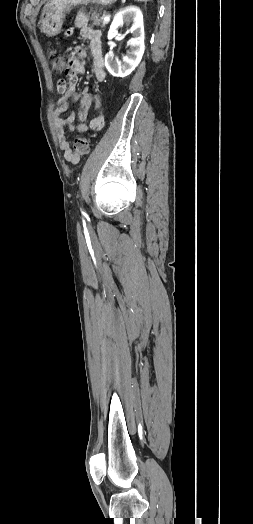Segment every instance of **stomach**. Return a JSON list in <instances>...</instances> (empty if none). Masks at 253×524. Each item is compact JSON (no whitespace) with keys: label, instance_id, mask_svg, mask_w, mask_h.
<instances>
[{"label":"stomach","instance_id":"0dacf381","mask_svg":"<svg viewBox=\"0 0 253 524\" xmlns=\"http://www.w3.org/2000/svg\"><path fill=\"white\" fill-rule=\"evenodd\" d=\"M117 0H49L41 13L39 25L41 31L48 37L61 32L67 12L75 6L87 3L110 5Z\"/></svg>","mask_w":253,"mask_h":524}]
</instances>
